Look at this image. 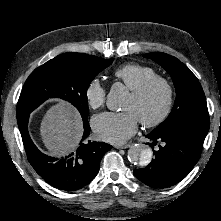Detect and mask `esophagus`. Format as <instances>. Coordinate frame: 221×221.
<instances>
[{
    "instance_id": "34e87169",
    "label": "esophagus",
    "mask_w": 221,
    "mask_h": 221,
    "mask_svg": "<svg viewBox=\"0 0 221 221\" xmlns=\"http://www.w3.org/2000/svg\"><path fill=\"white\" fill-rule=\"evenodd\" d=\"M131 144H125V145H115V148L117 149H126L129 148Z\"/></svg>"
}]
</instances>
